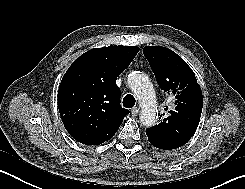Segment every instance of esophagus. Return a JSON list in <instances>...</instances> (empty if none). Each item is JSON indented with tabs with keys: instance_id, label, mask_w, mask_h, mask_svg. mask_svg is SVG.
<instances>
[{
	"instance_id": "obj_1",
	"label": "esophagus",
	"mask_w": 245,
	"mask_h": 189,
	"mask_svg": "<svg viewBox=\"0 0 245 189\" xmlns=\"http://www.w3.org/2000/svg\"><path fill=\"white\" fill-rule=\"evenodd\" d=\"M139 112H140V109L138 107H135L131 110V113L133 116H137Z\"/></svg>"
}]
</instances>
